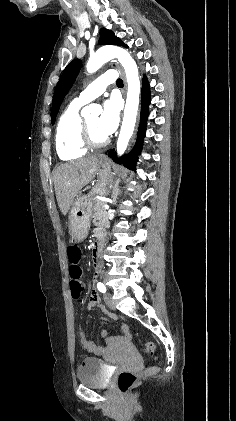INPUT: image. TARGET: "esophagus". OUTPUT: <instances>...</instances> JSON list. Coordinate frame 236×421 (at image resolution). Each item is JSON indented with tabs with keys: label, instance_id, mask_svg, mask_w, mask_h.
<instances>
[{
	"label": "esophagus",
	"instance_id": "esophagus-1",
	"mask_svg": "<svg viewBox=\"0 0 236 421\" xmlns=\"http://www.w3.org/2000/svg\"><path fill=\"white\" fill-rule=\"evenodd\" d=\"M112 67L115 68V64H112ZM120 72H121L123 82H124V87L122 89V93H123V96L125 97V95H126V80H125L124 72L121 69H120ZM101 158H104V157H101Z\"/></svg>",
	"mask_w": 236,
	"mask_h": 421
}]
</instances>
